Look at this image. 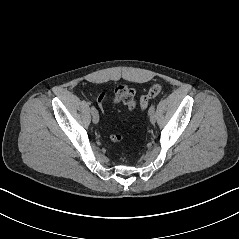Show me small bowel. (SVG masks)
I'll use <instances>...</instances> for the list:
<instances>
[{"label": "small bowel", "mask_w": 239, "mask_h": 239, "mask_svg": "<svg viewBox=\"0 0 239 239\" xmlns=\"http://www.w3.org/2000/svg\"><path fill=\"white\" fill-rule=\"evenodd\" d=\"M114 103L121 104L129 112L133 111L136 107V98L134 89L126 85H120L117 88H115Z\"/></svg>", "instance_id": "1"}]
</instances>
